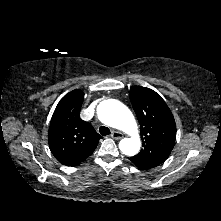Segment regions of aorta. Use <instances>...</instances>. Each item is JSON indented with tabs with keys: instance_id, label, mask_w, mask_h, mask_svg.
Here are the masks:
<instances>
[{
	"instance_id": "obj_1",
	"label": "aorta",
	"mask_w": 221,
	"mask_h": 221,
	"mask_svg": "<svg viewBox=\"0 0 221 221\" xmlns=\"http://www.w3.org/2000/svg\"><path fill=\"white\" fill-rule=\"evenodd\" d=\"M99 119L126 134L130 138H123L119 143L121 152L127 156L136 155L141 147L138 126L131 111L121 102L113 99L102 101L97 109Z\"/></svg>"
}]
</instances>
